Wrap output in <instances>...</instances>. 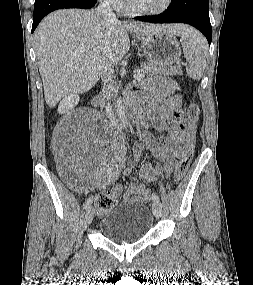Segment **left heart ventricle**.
Wrapping results in <instances>:
<instances>
[{
    "mask_svg": "<svg viewBox=\"0 0 253 285\" xmlns=\"http://www.w3.org/2000/svg\"><path fill=\"white\" fill-rule=\"evenodd\" d=\"M132 4L142 10H156L161 8L166 0H131Z\"/></svg>",
    "mask_w": 253,
    "mask_h": 285,
    "instance_id": "obj_1",
    "label": "left heart ventricle"
}]
</instances>
